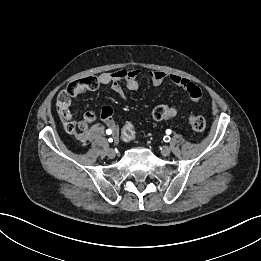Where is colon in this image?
I'll return each mask as SVG.
<instances>
[{"label":"colon","mask_w":261,"mask_h":261,"mask_svg":"<svg viewBox=\"0 0 261 261\" xmlns=\"http://www.w3.org/2000/svg\"><path fill=\"white\" fill-rule=\"evenodd\" d=\"M93 78H85L71 83L65 90H63L57 97V107L60 110L61 116L64 120L65 129L73 132L76 128L84 129L87 125L86 121L76 123L72 120L71 114L68 110L71 99L86 91V89L93 87ZM94 119L95 113L90 114ZM101 115V113H100ZM176 115V110L165 105L157 106L151 112V118L157 121L171 119ZM190 127L196 132H202L206 128V121L202 116L191 115L188 119ZM136 129L132 124H125L121 130V138L126 142L133 141L136 138Z\"/></svg>","instance_id":"5ec220e1"}]
</instances>
